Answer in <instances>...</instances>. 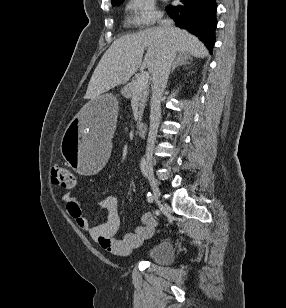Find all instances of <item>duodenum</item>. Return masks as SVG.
Listing matches in <instances>:
<instances>
[{"label":"duodenum","instance_id":"obj_1","mask_svg":"<svg viewBox=\"0 0 286 308\" xmlns=\"http://www.w3.org/2000/svg\"><path fill=\"white\" fill-rule=\"evenodd\" d=\"M136 131L139 136H145L147 133V124L146 122H140L136 126Z\"/></svg>","mask_w":286,"mask_h":308}]
</instances>
